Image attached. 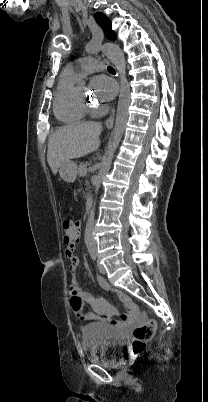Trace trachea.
<instances>
[{"label": "trachea", "instance_id": "trachea-1", "mask_svg": "<svg viewBox=\"0 0 208 402\" xmlns=\"http://www.w3.org/2000/svg\"><path fill=\"white\" fill-rule=\"evenodd\" d=\"M107 69H108V72H115L113 67H108Z\"/></svg>", "mask_w": 208, "mask_h": 402}]
</instances>
